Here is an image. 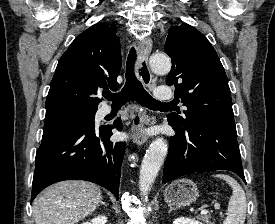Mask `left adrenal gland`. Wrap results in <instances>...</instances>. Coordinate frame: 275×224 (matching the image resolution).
I'll return each mask as SVG.
<instances>
[{
	"instance_id": "1",
	"label": "left adrenal gland",
	"mask_w": 275,
	"mask_h": 224,
	"mask_svg": "<svg viewBox=\"0 0 275 224\" xmlns=\"http://www.w3.org/2000/svg\"><path fill=\"white\" fill-rule=\"evenodd\" d=\"M175 210L173 207L169 206V211L168 213H170L171 211Z\"/></svg>"
}]
</instances>
